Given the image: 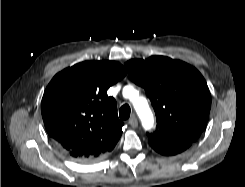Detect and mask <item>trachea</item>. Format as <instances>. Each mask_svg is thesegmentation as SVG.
Masks as SVG:
<instances>
[{
    "label": "trachea",
    "mask_w": 245,
    "mask_h": 187,
    "mask_svg": "<svg viewBox=\"0 0 245 187\" xmlns=\"http://www.w3.org/2000/svg\"><path fill=\"white\" fill-rule=\"evenodd\" d=\"M131 109L128 104H124L119 110V117L122 120H127L130 117Z\"/></svg>",
    "instance_id": "trachea-1"
}]
</instances>
